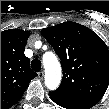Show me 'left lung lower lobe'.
Wrapping results in <instances>:
<instances>
[{
    "label": "left lung lower lobe",
    "mask_w": 109,
    "mask_h": 109,
    "mask_svg": "<svg viewBox=\"0 0 109 109\" xmlns=\"http://www.w3.org/2000/svg\"><path fill=\"white\" fill-rule=\"evenodd\" d=\"M49 95L55 103L66 109H88L92 107V105L87 102L59 91H50Z\"/></svg>",
    "instance_id": "obj_1"
}]
</instances>
